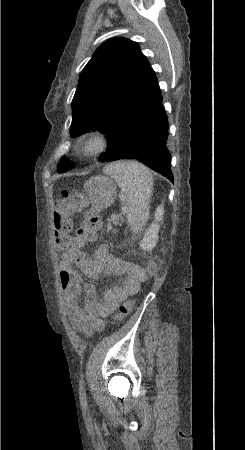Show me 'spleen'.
<instances>
[{
    "instance_id": "obj_1",
    "label": "spleen",
    "mask_w": 245,
    "mask_h": 450,
    "mask_svg": "<svg viewBox=\"0 0 245 450\" xmlns=\"http://www.w3.org/2000/svg\"><path fill=\"white\" fill-rule=\"evenodd\" d=\"M121 189L120 200L125 205L127 224L137 234L149 218L153 177L149 169L137 161H117L104 168Z\"/></svg>"
}]
</instances>
